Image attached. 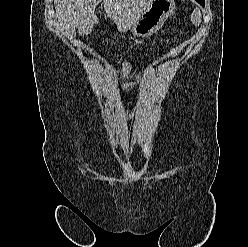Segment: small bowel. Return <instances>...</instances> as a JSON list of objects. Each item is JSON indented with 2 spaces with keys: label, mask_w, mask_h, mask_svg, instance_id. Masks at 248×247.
Segmentation results:
<instances>
[{
  "label": "small bowel",
  "mask_w": 248,
  "mask_h": 247,
  "mask_svg": "<svg viewBox=\"0 0 248 247\" xmlns=\"http://www.w3.org/2000/svg\"><path fill=\"white\" fill-rule=\"evenodd\" d=\"M157 42H154L153 45H155ZM156 58V55H153L150 60L154 61ZM133 70V66L127 61L123 60L118 62V73L121 75V77L125 78L130 76L131 72Z\"/></svg>",
  "instance_id": "c3829d8e"
}]
</instances>
